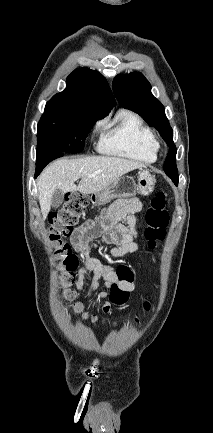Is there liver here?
Listing matches in <instances>:
<instances>
[{
  "label": "liver",
  "mask_w": 213,
  "mask_h": 433,
  "mask_svg": "<svg viewBox=\"0 0 213 433\" xmlns=\"http://www.w3.org/2000/svg\"><path fill=\"white\" fill-rule=\"evenodd\" d=\"M142 163L109 156H93L85 159H60L44 169L37 180L39 203L43 219L51 209L55 190L63 193L79 191L82 194L98 193L112 185L122 175L142 169ZM92 175V177H89ZM81 178L79 185L75 181Z\"/></svg>",
  "instance_id": "1"
}]
</instances>
